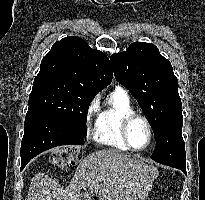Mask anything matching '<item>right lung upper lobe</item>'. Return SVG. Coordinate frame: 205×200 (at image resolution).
Segmentation results:
<instances>
[{"instance_id":"1","label":"right lung upper lobe","mask_w":205,"mask_h":200,"mask_svg":"<svg viewBox=\"0 0 205 200\" xmlns=\"http://www.w3.org/2000/svg\"><path fill=\"white\" fill-rule=\"evenodd\" d=\"M113 71L107 56L81 38L66 37L53 44L42 59L35 80L56 79L81 86L94 94L111 83Z\"/></svg>"}]
</instances>
